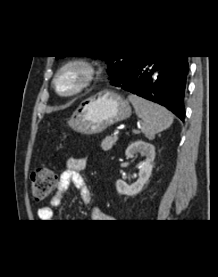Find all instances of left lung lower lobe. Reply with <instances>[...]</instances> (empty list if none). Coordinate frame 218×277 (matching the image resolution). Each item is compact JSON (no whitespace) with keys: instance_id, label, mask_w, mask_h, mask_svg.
Segmentation results:
<instances>
[{"instance_id":"0a47b994","label":"left lung lower lobe","mask_w":218,"mask_h":277,"mask_svg":"<svg viewBox=\"0 0 218 277\" xmlns=\"http://www.w3.org/2000/svg\"><path fill=\"white\" fill-rule=\"evenodd\" d=\"M188 56L134 55L111 85L161 104L184 120Z\"/></svg>"}]
</instances>
